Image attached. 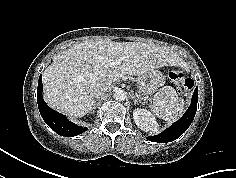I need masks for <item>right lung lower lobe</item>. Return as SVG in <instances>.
<instances>
[{
    "label": "right lung lower lobe",
    "instance_id": "1",
    "mask_svg": "<svg viewBox=\"0 0 236 178\" xmlns=\"http://www.w3.org/2000/svg\"><path fill=\"white\" fill-rule=\"evenodd\" d=\"M38 108L45 123L62 136H76L87 130L86 127L78 126L70 122L64 115L52 110L42 97V76L39 77L37 91Z\"/></svg>",
    "mask_w": 236,
    "mask_h": 178
}]
</instances>
